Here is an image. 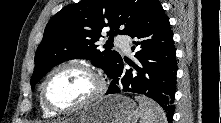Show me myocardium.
Returning a JSON list of instances; mask_svg holds the SVG:
<instances>
[{"label": "myocardium", "instance_id": "obj_1", "mask_svg": "<svg viewBox=\"0 0 221 123\" xmlns=\"http://www.w3.org/2000/svg\"><path fill=\"white\" fill-rule=\"evenodd\" d=\"M65 68H77L81 69L88 74H90L92 77H94L97 81V88L94 92V94L89 97L87 100L74 105V106H69V107H58L52 104L48 97H47V85L51 79V77L57 73L58 71L65 69ZM106 81L103 75L97 71L94 67H92L90 64L81 62V61H68L61 63L54 67L52 70L48 72L46 75L44 81L41 84V89H40V99L43 103V105L51 112L55 114H62V113H71L75 111H79L82 109H85L87 107L92 106L93 104L97 103L105 94L106 92Z\"/></svg>", "mask_w": 221, "mask_h": 123}]
</instances>
